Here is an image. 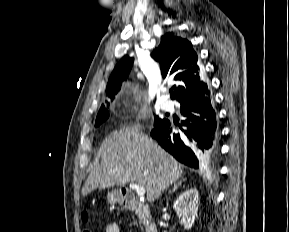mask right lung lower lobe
I'll return each mask as SVG.
<instances>
[{
  "instance_id": "1",
  "label": "right lung lower lobe",
  "mask_w": 289,
  "mask_h": 232,
  "mask_svg": "<svg viewBox=\"0 0 289 232\" xmlns=\"http://www.w3.org/2000/svg\"><path fill=\"white\" fill-rule=\"evenodd\" d=\"M211 94L180 101L181 113L187 119L182 134L175 133L170 121L164 120L151 131V136L178 161L194 169L215 163L219 152V125Z\"/></svg>"
}]
</instances>
